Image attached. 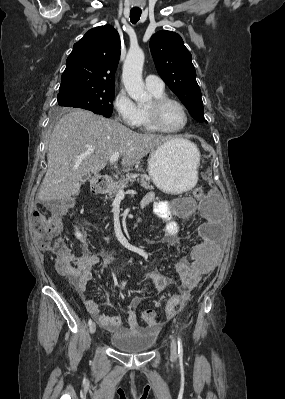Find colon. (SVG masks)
I'll list each match as a JSON object with an SVG mask.
<instances>
[{
    "mask_svg": "<svg viewBox=\"0 0 285 399\" xmlns=\"http://www.w3.org/2000/svg\"><path fill=\"white\" fill-rule=\"evenodd\" d=\"M195 198L204 196V191L196 187L192 191ZM73 201H64L59 205V212H70L74 209ZM29 229L32 237L39 248L54 254L58 260L61 271L71 276H78V269L75 267L76 256L68 249L60 236L61 223L57 214L46 215L41 211L35 212L29 220ZM180 310V306L170 303L166 307V314L173 316ZM142 321L147 326L157 324V312L155 309H145L142 312Z\"/></svg>",
    "mask_w": 285,
    "mask_h": 399,
    "instance_id": "colon-1",
    "label": "colon"
}]
</instances>
